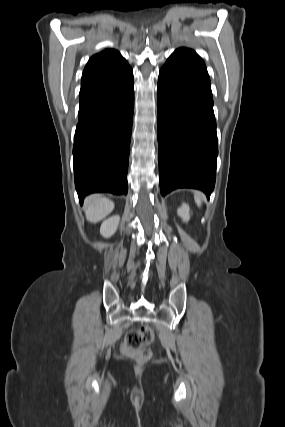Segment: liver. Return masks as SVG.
Masks as SVG:
<instances>
[{
    "mask_svg": "<svg viewBox=\"0 0 285 427\" xmlns=\"http://www.w3.org/2000/svg\"><path fill=\"white\" fill-rule=\"evenodd\" d=\"M114 209V203L100 195L87 198L84 211L88 221L97 223L104 219Z\"/></svg>",
    "mask_w": 285,
    "mask_h": 427,
    "instance_id": "liver-1",
    "label": "liver"
}]
</instances>
